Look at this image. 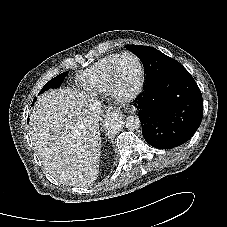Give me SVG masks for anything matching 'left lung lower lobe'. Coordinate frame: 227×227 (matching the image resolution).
<instances>
[{"label": "left lung lower lobe", "mask_w": 227, "mask_h": 227, "mask_svg": "<svg viewBox=\"0 0 227 227\" xmlns=\"http://www.w3.org/2000/svg\"><path fill=\"white\" fill-rule=\"evenodd\" d=\"M134 106L144 139L158 149L185 143L200 126L203 114L201 91L185 68L146 85Z\"/></svg>", "instance_id": "obj_1"}]
</instances>
